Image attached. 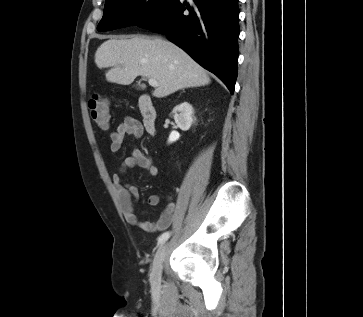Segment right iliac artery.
Here are the masks:
<instances>
[{"mask_svg":"<svg viewBox=\"0 0 363 317\" xmlns=\"http://www.w3.org/2000/svg\"><path fill=\"white\" fill-rule=\"evenodd\" d=\"M171 233L170 232H165L163 233L159 238H158V245L163 244L169 237H170Z\"/></svg>","mask_w":363,"mask_h":317,"instance_id":"1","label":"right iliac artery"}]
</instances>
